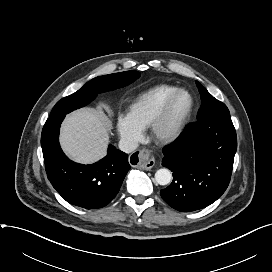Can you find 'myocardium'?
<instances>
[{
  "label": "myocardium",
  "instance_id": "1",
  "mask_svg": "<svg viewBox=\"0 0 272 272\" xmlns=\"http://www.w3.org/2000/svg\"><path fill=\"white\" fill-rule=\"evenodd\" d=\"M182 93H186L189 95L190 107L185 115L173 127L166 129V122L170 115L173 104L176 98ZM195 105V98L189 90L185 88H178L176 91H174L165 101L164 105L162 106V108L150 125L151 135L155 139V141L161 144H169L176 141L187 127L193 115Z\"/></svg>",
  "mask_w": 272,
  "mask_h": 272
}]
</instances>
